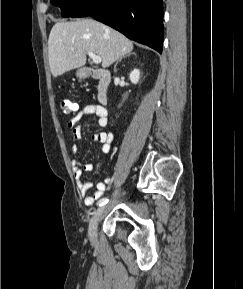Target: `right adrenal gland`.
<instances>
[{"mask_svg":"<svg viewBox=\"0 0 243 289\" xmlns=\"http://www.w3.org/2000/svg\"><path fill=\"white\" fill-rule=\"evenodd\" d=\"M130 55H131V54H126V55L122 56V57L116 62L115 66H114L115 72H117V68H116L117 64H118L123 58L129 57ZM132 55H135V52H133Z\"/></svg>","mask_w":243,"mask_h":289,"instance_id":"1","label":"right adrenal gland"}]
</instances>
